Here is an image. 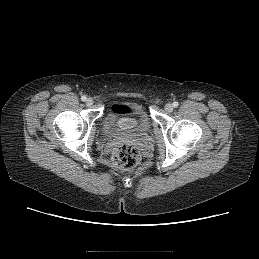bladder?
<instances>
[{"instance_id": "obj_1", "label": "bladder", "mask_w": 259, "mask_h": 259, "mask_svg": "<svg viewBox=\"0 0 259 259\" xmlns=\"http://www.w3.org/2000/svg\"><path fill=\"white\" fill-rule=\"evenodd\" d=\"M103 127L108 134H145L151 129V118L140 103H114L106 110Z\"/></svg>"}]
</instances>
